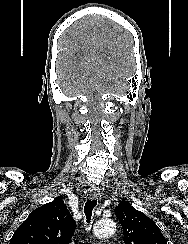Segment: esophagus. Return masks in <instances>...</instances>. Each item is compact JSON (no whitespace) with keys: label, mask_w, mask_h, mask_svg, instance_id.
I'll return each mask as SVG.
<instances>
[{"label":"esophagus","mask_w":188,"mask_h":244,"mask_svg":"<svg viewBox=\"0 0 188 244\" xmlns=\"http://www.w3.org/2000/svg\"><path fill=\"white\" fill-rule=\"evenodd\" d=\"M91 199H97L100 196L99 190H91L89 193Z\"/></svg>","instance_id":"34e87169"}]
</instances>
